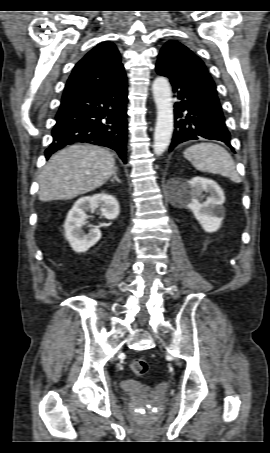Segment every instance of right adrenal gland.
Instances as JSON below:
<instances>
[{
  "label": "right adrenal gland",
  "mask_w": 270,
  "mask_h": 453,
  "mask_svg": "<svg viewBox=\"0 0 270 453\" xmlns=\"http://www.w3.org/2000/svg\"><path fill=\"white\" fill-rule=\"evenodd\" d=\"M111 182H114V181H117L118 183H121V180L119 179V177L117 176V168L115 169L114 173H113V177L110 179Z\"/></svg>",
  "instance_id": "right-adrenal-gland-1"
}]
</instances>
